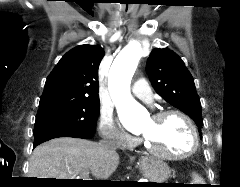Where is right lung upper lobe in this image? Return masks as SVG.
<instances>
[{"label": "right lung upper lobe", "mask_w": 240, "mask_h": 187, "mask_svg": "<svg viewBox=\"0 0 240 187\" xmlns=\"http://www.w3.org/2000/svg\"><path fill=\"white\" fill-rule=\"evenodd\" d=\"M104 50L80 45L67 52L47 77L39 105L54 102L98 101V68Z\"/></svg>", "instance_id": "right-lung-upper-lobe-1"}]
</instances>
